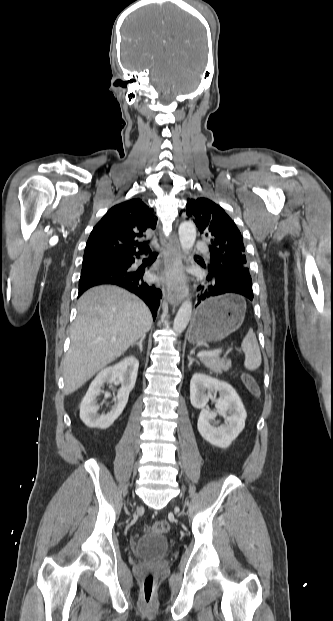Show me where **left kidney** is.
<instances>
[{"instance_id":"left-kidney-1","label":"left kidney","mask_w":333,"mask_h":621,"mask_svg":"<svg viewBox=\"0 0 333 621\" xmlns=\"http://www.w3.org/2000/svg\"><path fill=\"white\" fill-rule=\"evenodd\" d=\"M214 392H219V398L216 399L217 412L207 408ZM190 401L193 407L201 409L197 428L210 444L227 448L243 431L247 413L230 384L201 373L194 374L190 382ZM217 414L226 418V425L217 426L216 422L212 423Z\"/></svg>"}]
</instances>
